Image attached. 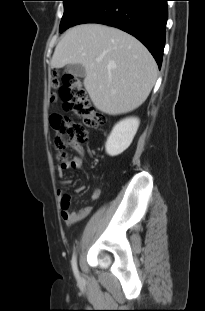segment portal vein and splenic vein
<instances>
[{
	"label": "portal vein and splenic vein",
	"instance_id": "portal-vein-and-splenic-vein-1",
	"mask_svg": "<svg viewBox=\"0 0 205 311\" xmlns=\"http://www.w3.org/2000/svg\"><path fill=\"white\" fill-rule=\"evenodd\" d=\"M96 61H97V62H99L100 60H99V59H97Z\"/></svg>",
	"mask_w": 205,
	"mask_h": 311
}]
</instances>
